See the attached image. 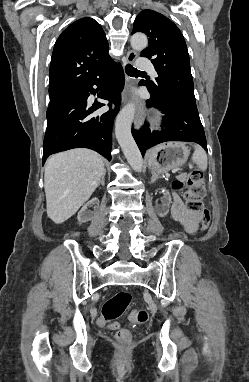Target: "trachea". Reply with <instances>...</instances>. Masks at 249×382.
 <instances>
[{
    "label": "trachea",
    "instance_id": "1",
    "mask_svg": "<svg viewBox=\"0 0 249 382\" xmlns=\"http://www.w3.org/2000/svg\"><path fill=\"white\" fill-rule=\"evenodd\" d=\"M125 71L129 76H134L137 74H145V72L139 71L136 68H134L132 65L128 64L125 67Z\"/></svg>",
    "mask_w": 249,
    "mask_h": 382
}]
</instances>
